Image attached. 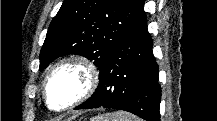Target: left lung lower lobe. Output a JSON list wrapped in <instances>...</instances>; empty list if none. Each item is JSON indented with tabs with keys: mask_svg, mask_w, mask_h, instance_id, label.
I'll return each mask as SVG.
<instances>
[{
	"mask_svg": "<svg viewBox=\"0 0 217 121\" xmlns=\"http://www.w3.org/2000/svg\"><path fill=\"white\" fill-rule=\"evenodd\" d=\"M143 7L144 1L106 59L95 93L75 109L103 106L129 111L147 121H160L158 65Z\"/></svg>",
	"mask_w": 217,
	"mask_h": 121,
	"instance_id": "1",
	"label": "left lung lower lobe"
}]
</instances>
